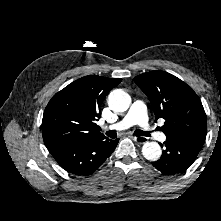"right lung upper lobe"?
<instances>
[{
    "label": "right lung upper lobe",
    "mask_w": 221,
    "mask_h": 221,
    "mask_svg": "<svg viewBox=\"0 0 221 221\" xmlns=\"http://www.w3.org/2000/svg\"><path fill=\"white\" fill-rule=\"evenodd\" d=\"M121 80L88 75L56 93L43 114L42 134L46 147L103 137L95 121L100 118L106 95Z\"/></svg>",
    "instance_id": "right-lung-upper-lobe-1"
}]
</instances>
